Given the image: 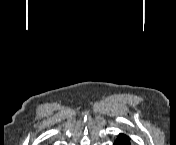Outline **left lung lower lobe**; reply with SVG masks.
<instances>
[{
  "mask_svg": "<svg viewBox=\"0 0 176 145\" xmlns=\"http://www.w3.org/2000/svg\"><path fill=\"white\" fill-rule=\"evenodd\" d=\"M114 145H130V142L127 136L120 134Z\"/></svg>",
  "mask_w": 176,
  "mask_h": 145,
  "instance_id": "left-lung-lower-lobe-1",
  "label": "left lung lower lobe"
}]
</instances>
